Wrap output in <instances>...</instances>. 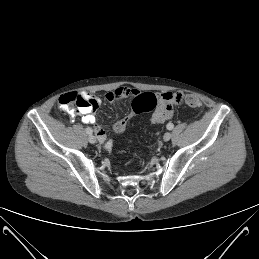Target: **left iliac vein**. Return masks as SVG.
<instances>
[{"label": "left iliac vein", "instance_id": "obj_1", "mask_svg": "<svg viewBox=\"0 0 259 259\" xmlns=\"http://www.w3.org/2000/svg\"><path fill=\"white\" fill-rule=\"evenodd\" d=\"M164 141H169L171 139V133L166 132L163 136Z\"/></svg>", "mask_w": 259, "mask_h": 259}]
</instances>
